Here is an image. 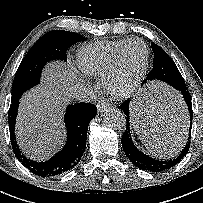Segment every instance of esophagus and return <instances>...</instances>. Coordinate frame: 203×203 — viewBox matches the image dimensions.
Here are the masks:
<instances>
[{"label": "esophagus", "instance_id": "1", "mask_svg": "<svg viewBox=\"0 0 203 203\" xmlns=\"http://www.w3.org/2000/svg\"><path fill=\"white\" fill-rule=\"evenodd\" d=\"M109 106H110V103H108V102H105V101L99 102L97 105L98 112H100V113L103 112Z\"/></svg>", "mask_w": 203, "mask_h": 203}]
</instances>
